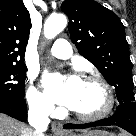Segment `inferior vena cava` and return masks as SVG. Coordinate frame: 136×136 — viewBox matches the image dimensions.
I'll return each instance as SVG.
<instances>
[{
  "label": "inferior vena cava",
  "instance_id": "inferior-vena-cava-1",
  "mask_svg": "<svg viewBox=\"0 0 136 136\" xmlns=\"http://www.w3.org/2000/svg\"><path fill=\"white\" fill-rule=\"evenodd\" d=\"M51 108L48 106L35 104L29 107L28 121L29 124L35 129L32 136H44L43 132L46 131L50 122L48 116Z\"/></svg>",
  "mask_w": 136,
  "mask_h": 136
}]
</instances>
